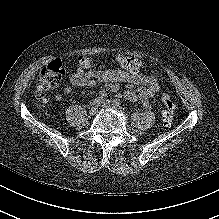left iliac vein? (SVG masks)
<instances>
[{
  "label": "left iliac vein",
  "mask_w": 219,
  "mask_h": 219,
  "mask_svg": "<svg viewBox=\"0 0 219 219\" xmlns=\"http://www.w3.org/2000/svg\"><path fill=\"white\" fill-rule=\"evenodd\" d=\"M101 106L106 109L118 110V106L114 105L110 100H105Z\"/></svg>",
  "instance_id": "1"
}]
</instances>
